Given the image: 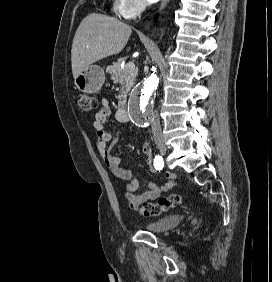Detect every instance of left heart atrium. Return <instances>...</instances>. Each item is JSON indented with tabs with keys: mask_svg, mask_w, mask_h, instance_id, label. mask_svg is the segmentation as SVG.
<instances>
[{
	"mask_svg": "<svg viewBox=\"0 0 272 282\" xmlns=\"http://www.w3.org/2000/svg\"><path fill=\"white\" fill-rule=\"evenodd\" d=\"M149 1H151V2H155V1H157V0H149Z\"/></svg>",
	"mask_w": 272,
	"mask_h": 282,
	"instance_id": "obj_1",
	"label": "left heart atrium"
}]
</instances>
